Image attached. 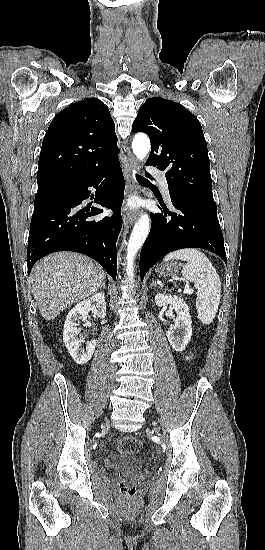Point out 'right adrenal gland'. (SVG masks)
I'll return each instance as SVG.
<instances>
[{"label":"right adrenal gland","instance_id":"1","mask_svg":"<svg viewBox=\"0 0 265 550\" xmlns=\"http://www.w3.org/2000/svg\"><path fill=\"white\" fill-rule=\"evenodd\" d=\"M102 288L106 289L105 282L102 284Z\"/></svg>","mask_w":265,"mask_h":550}]
</instances>
